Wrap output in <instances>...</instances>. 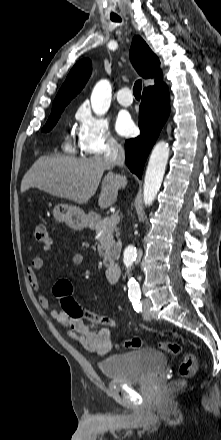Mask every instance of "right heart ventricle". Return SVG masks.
<instances>
[{
  "label": "right heart ventricle",
  "instance_id": "right-heart-ventricle-1",
  "mask_svg": "<svg viewBox=\"0 0 221 440\" xmlns=\"http://www.w3.org/2000/svg\"><path fill=\"white\" fill-rule=\"evenodd\" d=\"M63 149L65 152L74 153L75 152V142H73L69 137L63 142Z\"/></svg>",
  "mask_w": 221,
  "mask_h": 440
}]
</instances>
